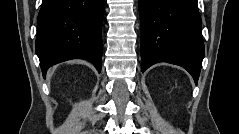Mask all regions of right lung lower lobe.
<instances>
[{
    "mask_svg": "<svg viewBox=\"0 0 239 134\" xmlns=\"http://www.w3.org/2000/svg\"><path fill=\"white\" fill-rule=\"evenodd\" d=\"M104 0H43L37 18L36 54L45 77L59 62L85 59L101 72Z\"/></svg>",
    "mask_w": 239,
    "mask_h": 134,
    "instance_id": "obj_1",
    "label": "right lung lower lobe"
}]
</instances>
